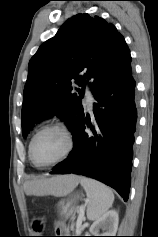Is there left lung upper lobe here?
I'll list each match as a JSON object with an SVG mask.
<instances>
[{
    "instance_id": "left-lung-upper-lobe-1",
    "label": "left lung upper lobe",
    "mask_w": 158,
    "mask_h": 237,
    "mask_svg": "<svg viewBox=\"0 0 158 237\" xmlns=\"http://www.w3.org/2000/svg\"><path fill=\"white\" fill-rule=\"evenodd\" d=\"M130 62V50L113 24L86 13L68 19L29 62L22 106L23 137L38 121L53 115L74 134L84 116L82 96L73 92L74 84L83 89L89 85L94 94Z\"/></svg>"
}]
</instances>
